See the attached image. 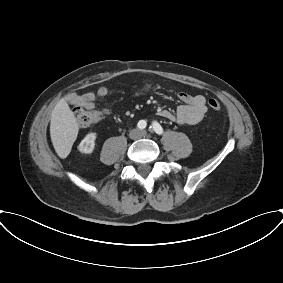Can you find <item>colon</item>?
<instances>
[{
    "mask_svg": "<svg viewBox=\"0 0 283 283\" xmlns=\"http://www.w3.org/2000/svg\"><path fill=\"white\" fill-rule=\"evenodd\" d=\"M208 106L213 111H218L221 108V104L216 98H210ZM75 118L80 126L88 127L98 121L99 115L88 107L81 106L75 110Z\"/></svg>",
    "mask_w": 283,
    "mask_h": 283,
    "instance_id": "5ec220e1",
    "label": "colon"
}]
</instances>
